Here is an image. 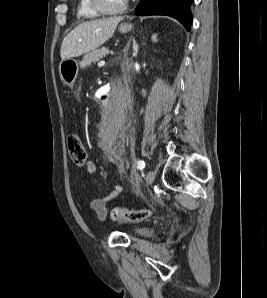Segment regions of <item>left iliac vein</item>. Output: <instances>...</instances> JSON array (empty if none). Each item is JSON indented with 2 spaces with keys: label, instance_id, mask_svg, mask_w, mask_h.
Here are the masks:
<instances>
[{
  "label": "left iliac vein",
  "instance_id": "4c4485c4",
  "mask_svg": "<svg viewBox=\"0 0 267 298\" xmlns=\"http://www.w3.org/2000/svg\"><path fill=\"white\" fill-rule=\"evenodd\" d=\"M154 179H155V172L152 171V170H149L146 173V177H145V184H146V186L151 185L154 182Z\"/></svg>",
  "mask_w": 267,
  "mask_h": 298
}]
</instances>
